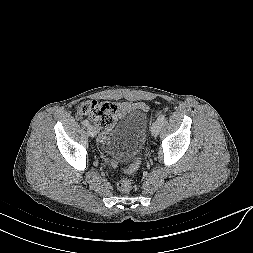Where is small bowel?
Here are the masks:
<instances>
[{"mask_svg":"<svg viewBox=\"0 0 253 253\" xmlns=\"http://www.w3.org/2000/svg\"><path fill=\"white\" fill-rule=\"evenodd\" d=\"M118 109L137 110L141 112H147L148 106L142 102H136V103L124 102V103L119 104ZM103 141L106 142L105 138H103Z\"/></svg>","mask_w":253,"mask_h":253,"instance_id":"1","label":"small bowel"}]
</instances>
